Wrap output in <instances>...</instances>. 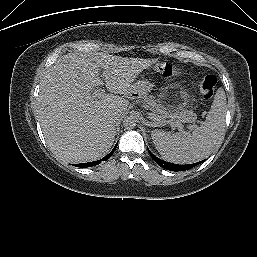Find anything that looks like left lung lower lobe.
Instances as JSON below:
<instances>
[{
	"instance_id": "0a47b994",
	"label": "left lung lower lobe",
	"mask_w": 257,
	"mask_h": 257,
	"mask_svg": "<svg viewBox=\"0 0 257 257\" xmlns=\"http://www.w3.org/2000/svg\"><path fill=\"white\" fill-rule=\"evenodd\" d=\"M149 151V150H148ZM149 154L151 155V157L153 158V160L162 168L170 170V171H184V170H188L191 169L197 165H199L200 163H202L203 161L194 163V164H187V165H178V164H173L170 162H166L164 160L159 159L158 157H156L155 155H153L150 151Z\"/></svg>"
}]
</instances>
